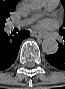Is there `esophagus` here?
I'll use <instances>...</instances> for the list:
<instances>
[{
  "mask_svg": "<svg viewBox=\"0 0 65 89\" xmlns=\"http://www.w3.org/2000/svg\"><path fill=\"white\" fill-rule=\"evenodd\" d=\"M31 35H32L33 37L42 38V39H44V38L47 37L44 33H41V32H38V31H33V32L31 33Z\"/></svg>",
  "mask_w": 65,
  "mask_h": 89,
  "instance_id": "obj_1",
  "label": "esophagus"
}]
</instances>
